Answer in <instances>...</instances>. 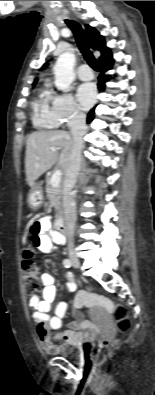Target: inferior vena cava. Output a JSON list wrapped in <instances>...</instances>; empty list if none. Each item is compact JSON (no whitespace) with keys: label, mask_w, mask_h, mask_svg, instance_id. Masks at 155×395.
I'll return each instance as SVG.
<instances>
[{"label":"inferior vena cava","mask_w":155,"mask_h":395,"mask_svg":"<svg viewBox=\"0 0 155 395\" xmlns=\"http://www.w3.org/2000/svg\"><path fill=\"white\" fill-rule=\"evenodd\" d=\"M70 131L73 136V150L70 156L69 164L65 170L64 179V196H63V207H64V220L68 237V250L69 255L73 254V231L76 222V204L74 201V194L72 189L74 188L77 177L79 175L81 161H82V148H83V136L86 133V116L83 113L77 112L70 120Z\"/></svg>","instance_id":"1"}]
</instances>
